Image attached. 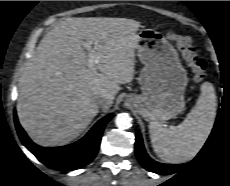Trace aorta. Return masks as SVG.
Segmentation results:
<instances>
[{
  "mask_svg": "<svg viewBox=\"0 0 230 186\" xmlns=\"http://www.w3.org/2000/svg\"><path fill=\"white\" fill-rule=\"evenodd\" d=\"M132 118L128 113H120L115 119V124L119 129H128L131 127Z\"/></svg>",
  "mask_w": 230,
  "mask_h": 186,
  "instance_id": "aorta-1",
  "label": "aorta"
}]
</instances>
